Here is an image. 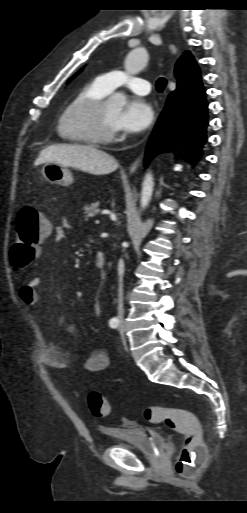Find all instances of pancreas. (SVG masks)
Listing matches in <instances>:
<instances>
[{
  "instance_id": "obj_1",
  "label": "pancreas",
  "mask_w": 247,
  "mask_h": 513,
  "mask_svg": "<svg viewBox=\"0 0 247 513\" xmlns=\"http://www.w3.org/2000/svg\"><path fill=\"white\" fill-rule=\"evenodd\" d=\"M84 214L85 218L88 219L90 217H94L100 212L99 204L97 202L90 203L84 206Z\"/></svg>"
}]
</instances>
